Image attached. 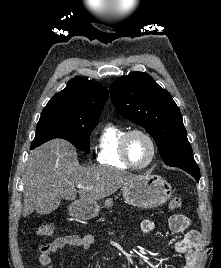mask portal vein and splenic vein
I'll use <instances>...</instances> for the list:
<instances>
[{
  "instance_id": "obj_1",
  "label": "portal vein and splenic vein",
  "mask_w": 221,
  "mask_h": 268,
  "mask_svg": "<svg viewBox=\"0 0 221 268\" xmlns=\"http://www.w3.org/2000/svg\"><path fill=\"white\" fill-rule=\"evenodd\" d=\"M77 188H83L84 186L82 184H77Z\"/></svg>"
}]
</instances>
